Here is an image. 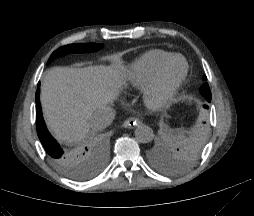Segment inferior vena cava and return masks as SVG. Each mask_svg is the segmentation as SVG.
<instances>
[{"instance_id":"1","label":"inferior vena cava","mask_w":254,"mask_h":216,"mask_svg":"<svg viewBox=\"0 0 254 216\" xmlns=\"http://www.w3.org/2000/svg\"><path fill=\"white\" fill-rule=\"evenodd\" d=\"M116 112L109 106H103L97 109L89 120L90 127L99 131L108 127L114 120Z\"/></svg>"}]
</instances>
